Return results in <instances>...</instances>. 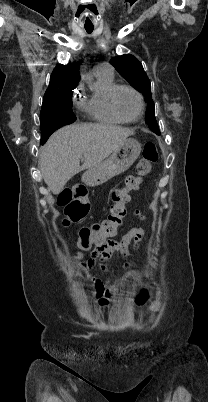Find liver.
<instances>
[{"mask_svg": "<svg viewBox=\"0 0 208 402\" xmlns=\"http://www.w3.org/2000/svg\"><path fill=\"white\" fill-rule=\"evenodd\" d=\"M134 132L108 124H73L49 138L40 154L42 178L53 194H60L68 180L81 170L101 164ZM85 156L83 166L80 158Z\"/></svg>", "mask_w": 208, "mask_h": 402, "instance_id": "1", "label": "liver"}]
</instances>
